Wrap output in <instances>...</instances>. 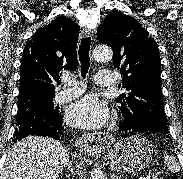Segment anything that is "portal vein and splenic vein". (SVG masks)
I'll list each match as a JSON object with an SVG mask.
<instances>
[{"label": "portal vein and splenic vein", "mask_w": 183, "mask_h": 179, "mask_svg": "<svg viewBox=\"0 0 183 179\" xmlns=\"http://www.w3.org/2000/svg\"><path fill=\"white\" fill-rule=\"evenodd\" d=\"M139 179H148V176L140 177Z\"/></svg>", "instance_id": "obj_1"}]
</instances>
